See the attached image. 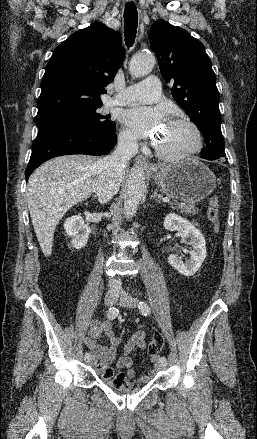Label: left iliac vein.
Segmentation results:
<instances>
[{
    "mask_svg": "<svg viewBox=\"0 0 257 439\" xmlns=\"http://www.w3.org/2000/svg\"><path fill=\"white\" fill-rule=\"evenodd\" d=\"M119 303L122 306H125L128 308H136L138 306V300L136 298L132 297L131 295L126 294V293L121 294L120 299H119ZM165 366H166L165 363L159 362L157 365V368L163 369Z\"/></svg>",
    "mask_w": 257,
    "mask_h": 439,
    "instance_id": "1",
    "label": "left iliac vein"
}]
</instances>
